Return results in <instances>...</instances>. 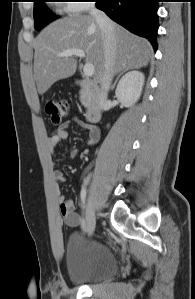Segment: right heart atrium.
<instances>
[{"label": "right heart atrium", "mask_w": 195, "mask_h": 299, "mask_svg": "<svg viewBox=\"0 0 195 299\" xmlns=\"http://www.w3.org/2000/svg\"><path fill=\"white\" fill-rule=\"evenodd\" d=\"M64 9L70 13H83L89 9L88 0H70L65 3Z\"/></svg>", "instance_id": "right-heart-atrium-1"}]
</instances>
